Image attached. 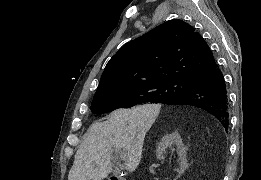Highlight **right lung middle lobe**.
<instances>
[{
    "mask_svg": "<svg viewBox=\"0 0 261 180\" xmlns=\"http://www.w3.org/2000/svg\"><path fill=\"white\" fill-rule=\"evenodd\" d=\"M190 87L191 82L185 80H162L135 85L95 97L91 104V111L102 114L142 103L164 104L189 91Z\"/></svg>",
    "mask_w": 261,
    "mask_h": 180,
    "instance_id": "dd1d6c3e",
    "label": "right lung middle lobe"
}]
</instances>
